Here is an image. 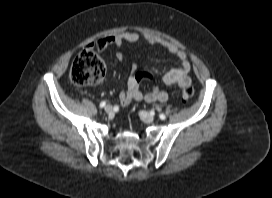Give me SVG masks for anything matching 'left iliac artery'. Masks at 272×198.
<instances>
[{
    "instance_id": "obj_1",
    "label": "left iliac artery",
    "mask_w": 272,
    "mask_h": 198,
    "mask_svg": "<svg viewBox=\"0 0 272 198\" xmlns=\"http://www.w3.org/2000/svg\"><path fill=\"white\" fill-rule=\"evenodd\" d=\"M160 119L164 120L166 118V116L162 113L159 115Z\"/></svg>"
}]
</instances>
